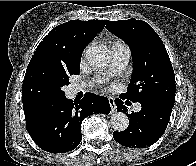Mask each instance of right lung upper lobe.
Returning <instances> with one entry per match:
<instances>
[{
  "mask_svg": "<svg viewBox=\"0 0 196 166\" xmlns=\"http://www.w3.org/2000/svg\"><path fill=\"white\" fill-rule=\"evenodd\" d=\"M107 20H71L52 29L31 60L43 59L67 70L80 67L82 51Z\"/></svg>",
  "mask_w": 196,
  "mask_h": 166,
  "instance_id": "right-lung-upper-lobe-1",
  "label": "right lung upper lobe"
}]
</instances>
